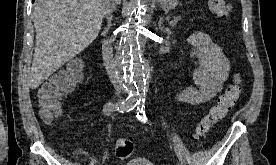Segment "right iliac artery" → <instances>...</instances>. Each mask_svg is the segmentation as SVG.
<instances>
[{
  "mask_svg": "<svg viewBox=\"0 0 276 165\" xmlns=\"http://www.w3.org/2000/svg\"><path fill=\"white\" fill-rule=\"evenodd\" d=\"M136 105H137V101L134 99H129V100L126 99V101H124L119 107H115L113 103H107L103 107V112L106 115H111L115 109L116 111L121 113L130 112L136 107Z\"/></svg>",
  "mask_w": 276,
  "mask_h": 165,
  "instance_id": "1",
  "label": "right iliac artery"
}]
</instances>
